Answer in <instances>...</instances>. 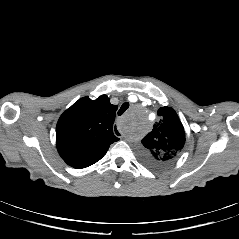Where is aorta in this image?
Wrapping results in <instances>:
<instances>
[{
    "instance_id": "1",
    "label": "aorta",
    "mask_w": 239,
    "mask_h": 239,
    "mask_svg": "<svg viewBox=\"0 0 239 239\" xmlns=\"http://www.w3.org/2000/svg\"><path fill=\"white\" fill-rule=\"evenodd\" d=\"M143 118L137 114H130L123 123V130L128 136H132L142 129Z\"/></svg>"
}]
</instances>
